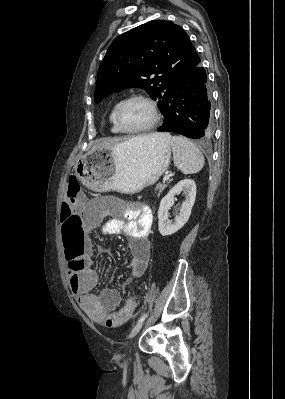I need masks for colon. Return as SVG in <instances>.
<instances>
[{
  "label": "colon",
  "mask_w": 285,
  "mask_h": 399,
  "mask_svg": "<svg viewBox=\"0 0 285 399\" xmlns=\"http://www.w3.org/2000/svg\"><path fill=\"white\" fill-rule=\"evenodd\" d=\"M81 186L77 179L71 178L68 183L67 194L62 203L61 220L64 227V240L67 247L68 271L70 275H77L86 266L87 252L76 239V229L79 226L75 208L80 204ZM131 305L126 304L118 313L120 319L130 315Z\"/></svg>",
  "instance_id": "1"
}]
</instances>
